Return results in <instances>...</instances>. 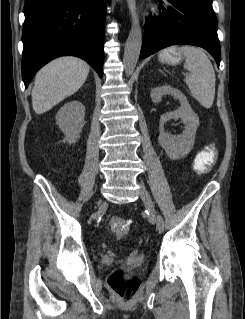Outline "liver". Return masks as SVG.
Here are the masks:
<instances>
[{
    "mask_svg": "<svg viewBox=\"0 0 245 319\" xmlns=\"http://www.w3.org/2000/svg\"><path fill=\"white\" fill-rule=\"evenodd\" d=\"M89 65L76 57H61L43 67L35 77L32 106L36 114H43L77 92L89 73Z\"/></svg>",
    "mask_w": 245,
    "mask_h": 319,
    "instance_id": "liver-1",
    "label": "liver"
}]
</instances>
